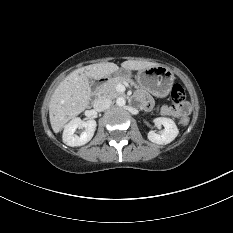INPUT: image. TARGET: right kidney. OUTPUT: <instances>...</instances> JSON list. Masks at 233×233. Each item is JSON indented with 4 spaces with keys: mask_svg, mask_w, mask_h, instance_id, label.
I'll list each match as a JSON object with an SVG mask.
<instances>
[{
    "mask_svg": "<svg viewBox=\"0 0 233 233\" xmlns=\"http://www.w3.org/2000/svg\"><path fill=\"white\" fill-rule=\"evenodd\" d=\"M96 126V121L93 119L82 121L78 117L74 118L64 128L62 135L63 142L71 147L85 145L92 139ZM78 128H84L80 136L75 135Z\"/></svg>",
    "mask_w": 233,
    "mask_h": 233,
    "instance_id": "obj_1",
    "label": "right kidney"
}]
</instances>
